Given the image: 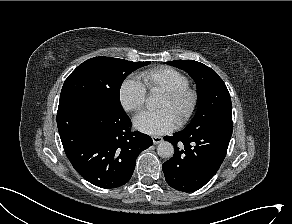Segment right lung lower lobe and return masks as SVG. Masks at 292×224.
<instances>
[{
  "label": "right lung lower lobe",
  "mask_w": 292,
  "mask_h": 224,
  "mask_svg": "<svg viewBox=\"0 0 292 224\" xmlns=\"http://www.w3.org/2000/svg\"><path fill=\"white\" fill-rule=\"evenodd\" d=\"M125 111L110 110L79 96L60 98L57 126L66 156L88 182L104 189L126 184L150 136L131 131Z\"/></svg>",
  "instance_id": "98d812e1"
}]
</instances>
